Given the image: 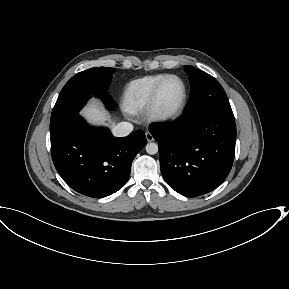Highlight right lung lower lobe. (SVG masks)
<instances>
[{"instance_id":"obj_1","label":"right lung lower lobe","mask_w":289,"mask_h":289,"mask_svg":"<svg viewBox=\"0 0 289 289\" xmlns=\"http://www.w3.org/2000/svg\"><path fill=\"white\" fill-rule=\"evenodd\" d=\"M51 155L60 176L75 191L101 198L118 191L128 180L131 164L146 145L143 131L113 137L75 115L50 133Z\"/></svg>"}]
</instances>
